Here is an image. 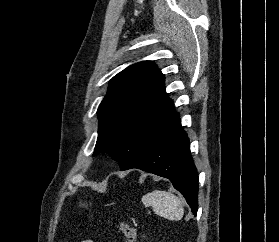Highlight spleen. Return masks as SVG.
Wrapping results in <instances>:
<instances>
[{"mask_svg":"<svg viewBox=\"0 0 279 242\" xmlns=\"http://www.w3.org/2000/svg\"><path fill=\"white\" fill-rule=\"evenodd\" d=\"M143 204L151 206L156 214L169 220H181L184 209L180 199L173 193L154 190L142 197Z\"/></svg>","mask_w":279,"mask_h":242,"instance_id":"3e777b00","label":"spleen"}]
</instances>
